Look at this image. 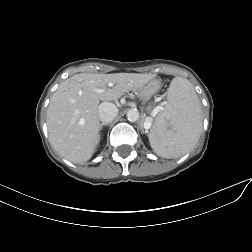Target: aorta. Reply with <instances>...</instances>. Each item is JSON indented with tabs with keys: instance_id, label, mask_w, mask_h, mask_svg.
<instances>
[{
	"instance_id": "obj_1",
	"label": "aorta",
	"mask_w": 252,
	"mask_h": 252,
	"mask_svg": "<svg viewBox=\"0 0 252 252\" xmlns=\"http://www.w3.org/2000/svg\"><path fill=\"white\" fill-rule=\"evenodd\" d=\"M126 117L130 122H136L139 119V112L137 109H130L128 110Z\"/></svg>"
}]
</instances>
